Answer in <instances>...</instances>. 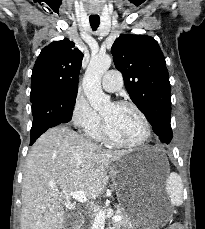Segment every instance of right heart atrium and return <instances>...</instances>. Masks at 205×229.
I'll use <instances>...</instances> for the list:
<instances>
[{
  "instance_id": "1",
  "label": "right heart atrium",
  "mask_w": 205,
  "mask_h": 229,
  "mask_svg": "<svg viewBox=\"0 0 205 229\" xmlns=\"http://www.w3.org/2000/svg\"><path fill=\"white\" fill-rule=\"evenodd\" d=\"M71 121L75 127L89 133L101 123V116L96 112L88 100L78 93L71 108Z\"/></svg>"
}]
</instances>
